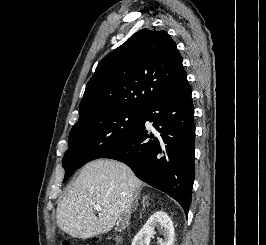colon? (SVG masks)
Wrapping results in <instances>:
<instances>
[{
	"label": "colon",
	"mask_w": 266,
	"mask_h": 245,
	"mask_svg": "<svg viewBox=\"0 0 266 245\" xmlns=\"http://www.w3.org/2000/svg\"><path fill=\"white\" fill-rule=\"evenodd\" d=\"M61 245H71V243L69 241H63Z\"/></svg>",
	"instance_id": "obj_1"
}]
</instances>
